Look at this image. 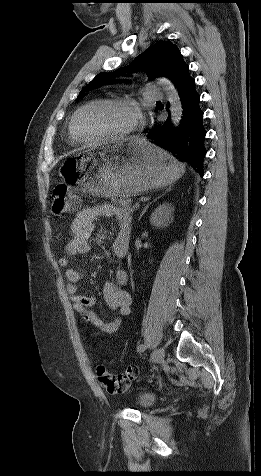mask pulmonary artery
Masks as SVG:
<instances>
[{
    "instance_id": "obj_1",
    "label": "pulmonary artery",
    "mask_w": 261,
    "mask_h": 476,
    "mask_svg": "<svg viewBox=\"0 0 261 476\" xmlns=\"http://www.w3.org/2000/svg\"><path fill=\"white\" fill-rule=\"evenodd\" d=\"M145 94L147 99L151 101H158L163 99V94L161 90L154 85L147 86L145 90Z\"/></svg>"
}]
</instances>
